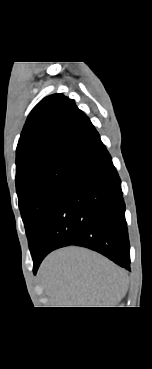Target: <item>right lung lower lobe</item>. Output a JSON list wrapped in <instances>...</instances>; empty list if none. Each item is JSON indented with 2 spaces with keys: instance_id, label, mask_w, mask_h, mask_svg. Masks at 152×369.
Masks as SVG:
<instances>
[{
  "instance_id": "98d812e1",
  "label": "right lung lower lobe",
  "mask_w": 152,
  "mask_h": 369,
  "mask_svg": "<svg viewBox=\"0 0 152 369\" xmlns=\"http://www.w3.org/2000/svg\"><path fill=\"white\" fill-rule=\"evenodd\" d=\"M77 245L130 270L121 181L101 140L74 164L32 252L34 273L51 251Z\"/></svg>"
}]
</instances>
